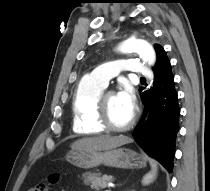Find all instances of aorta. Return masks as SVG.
Here are the masks:
<instances>
[{
  "mask_svg": "<svg viewBox=\"0 0 210 191\" xmlns=\"http://www.w3.org/2000/svg\"><path fill=\"white\" fill-rule=\"evenodd\" d=\"M118 50L122 53L136 52L149 65H153L156 61V53L153 47L141 39L129 38L122 42Z\"/></svg>",
  "mask_w": 210,
  "mask_h": 191,
  "instance_id": "aorta-1",
  "label": "aorta"
}]
</instances>
